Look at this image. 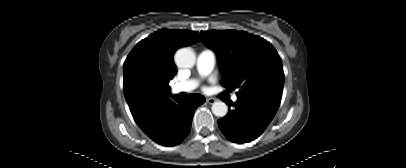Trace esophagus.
<instances>
[{
    "mask_svg": "<svg viewBox=\"0 0 406 168\" xmlns=\"http://www.w3.org/2000/svg\"><path fill=\"white\" fill-rule=\"evenodd\" d=\"M215 101H216V100H215L214 98H210V97L206 98V102H207L208 104H213Z\"/></svg>",
    "mask_w": 406,
    "mask_h": 168,
    "instance_id": "esophagus-1",
    "label": "esophagus"
}]
</instances>
